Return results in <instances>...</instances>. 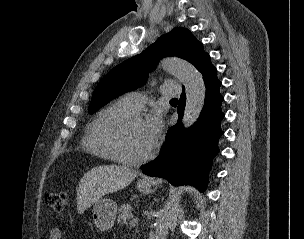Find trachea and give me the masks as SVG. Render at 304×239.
Wrapping results in <instances>:
<instances>
[{"label":"trachea","instance_id":"3493384b","mask_svg":"<svg viewBox=\"0 0 304 239\" xmlns=\"http://www.w3.org/2000/svg\"><path fill=\"white\" fill-rule=\"evenodd\" d=\"M170 101L176 102V101H178V100H177V98H173V99H171Z\"/></svg>","mask_w":304,"mask_h":239}]
</instances>
